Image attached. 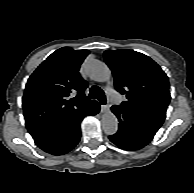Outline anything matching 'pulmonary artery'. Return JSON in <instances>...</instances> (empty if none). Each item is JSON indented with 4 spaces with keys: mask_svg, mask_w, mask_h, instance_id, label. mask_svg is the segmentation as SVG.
<instances>
[{
    "mask_svg": "<svg viewBox=\"0 0 194 193\" xmlns=\"http://www.w3.org/2000/svg\"><path fill=\"white\" fill-rule=\"evenodd\" d=\"M108 93H109L110 98L113 99L116 104L121 103V98L115 91L110 90Z\"/></svg>",
    "mask_w": 194,
    "mask_h": 193,
    "instance_id": "1",
    "label": "pulmonary artery"
}]
</instances>
